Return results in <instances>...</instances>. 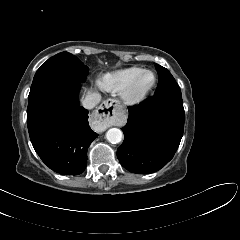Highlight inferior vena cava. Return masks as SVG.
<instances>
[{"mask_svg": "<svg viewBox=\"0 0 240 240\" xmlns=\"http://www.w3.org/2000/svg\"><path fill=\"white\" fill-rule=\"evenodd\" d=\"M101 101V95L93 92L88 93L82 101V105L86 109H93Z\"/></svg>", "mask_w": 240, "mask_h": 240, "instance_id": "1", "label": "inferior vena cava"}]
</instances>
